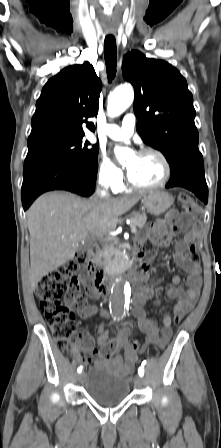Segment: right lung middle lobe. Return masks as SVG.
<instances>
[{"instance_id": "right-lung-middle-lobe-1", "label": "right lung middle lobe", "mask_w": 221, "mask_h": 448, "mask_svg": "<svg viewBox=\"0 0 221 448\" xmlns=\"http://www.w3.org/2000/svg\"><path fill=\"white\" fill-rule=\"evenodd\" d=\"M83 137L65 138L28 148L27 157L54 156L79 166L94 168L98 164V146H91Z\"/></svg>"}]
</instances>
